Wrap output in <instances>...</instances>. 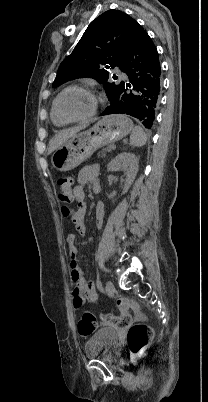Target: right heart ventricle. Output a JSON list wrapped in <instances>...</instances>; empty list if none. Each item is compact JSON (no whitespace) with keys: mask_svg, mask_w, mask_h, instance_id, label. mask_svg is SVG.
Masks as SVG:
<instances>
[{"mask_svg":"<svg viewBox=\"0 0 208 402\" xmlns=\"http://www.w3.org/2000/svg\"><path fill=\"white\" fill-rule=\"evenodd\" d=\"M50 118H51L52 124L55 127H58V128L65 127V126H67L69 124L68 122L63 121L60 118V116L57 114V112L55 110V107H54V103H53L52 108H51Z\"/></svg>","mask_w":208,"mask_h":402,"instance_id":"right-heart-ventricle-1","label":"right heart ventricle"}]
</instances>
